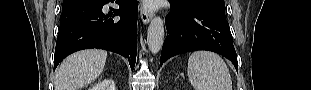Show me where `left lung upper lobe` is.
I'll use <instances>...</instances> for the list:
<instances>
[{
	"label": "left lung upper lobe",
	"instance_id": "obj_1",
	"mask_svg": "<svg viewBox=\"0 0 311 90\" xmlns=\"http://www.w3.org/2000/svg\"><path fill=\"white\" fill-rule=\"evenodd\" d=\"M169 2L182 10L204 11L225 18L224 0H169Z\"/></svg>",
	"mask_w": 311,
	"mask_h": 90
}]
</instances>
